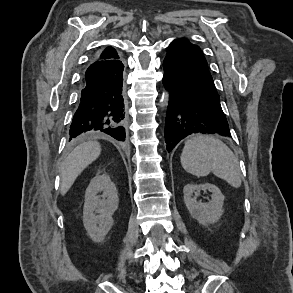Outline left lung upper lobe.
<instances>
[{"label":"left lung upper lobe","mask_w":293,"mask_h":293,"mask_svg":"<svg viewBox=\"0 0 293 293\" xmlns=\"http://www.w3.org/2000/svg\"><path fill=\"white\" fill-rule=\"evenodd\" d=\"M177 40H180L184 43V46L186 47V49L189 53V57L191 58L192 64L201 71V73L206 77V79L209 82L214 84L212 76H211L209 68H208V65H207V62L204 58V55H203L201 49L197 45L190 43L185 38H181V39H177Z\"/></svg>","instance_id":"obj_1"}]
</instances>
